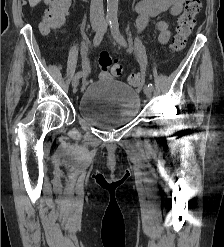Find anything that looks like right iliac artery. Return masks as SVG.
<instances>
[{
  "mask_svg": "<svg viewBox=\"0 0 224 247\" xmlns=\"http://www.w3.org/2000/svg\"><path fill=\"white\" fill-rule=\"evenodd\" d=\"M110 23H111V20L110 19H106L103 22V24H102L101 28L99 29V31L95 34L94 39H93V45L95 47H97L101 43V41L103 39V36H104V33H105L107 27L110 25ZM86 74H87V71H80V72L76 73V75H78L79 77H82V76H84Z\"/></svg>",
  "mask_w": 224,
  "mask_h": 247,
  "instance_id": "right-iliac-artery-1",
  "label": "right iliac artery"
}]
</instances>
